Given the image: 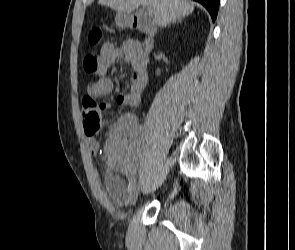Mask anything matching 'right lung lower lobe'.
<instances>
[{
  "mask_svg": "<svg viewBox=\"0 0 295 250\" xmlns=\"http://www.w3.org/2000/svg\"><path fill=\"white\" fill-rule=\"evenodd\" d=\"M195 1L204 5L206 7V9L209 11V13L212 17V20L215 21L220 0H195Z\"/></svg>",
  "mask_w": 295,
  "mask_h": 250,
  "instance_id": "1",
  "label": "right lung lower lobe"
}]
</instances>
